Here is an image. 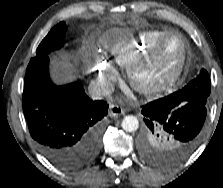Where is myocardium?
<instances>
[{
	"label": "myocardium",
	"instance_id": "f54148a6",
	"mask_svg": "<svg viewBox=\"0 0 223 188\" xmlns=\"http://www.w3.org/2000/svg\"><path fill=\"white\" fill-rule=\"evenodd\" d=\"M173 37L180 40L182 51L175 68L168 74L151 82L144 80L146 72L163 58V51L167 41ZM188 59V43L178 32H168L156 45L135 63L129 66L128 79L131 86L138 92L153 96L174 86L182 77Z\"/></svg>",
	"mask_w": 223,
	"mask_h": 188
}]
</instances>
